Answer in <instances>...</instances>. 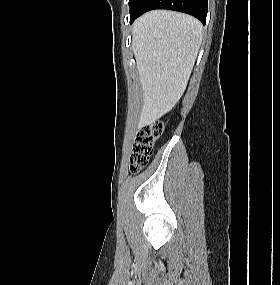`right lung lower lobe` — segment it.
I'll list each match as a JSON object with an SVG mask.
<instances>
[{"instance_id":"obj_1","label":"right lung lower lobe","mask_w":280,"mask_h":285,"mask_svg":"<svg viewBox=\"0 0 280 285\" xmlns=\"http://www.w3.org/2000/svg\"><path fill=\"white\" fill-rule=\"evenodd\" d=\"M153 9H170L188 13L205 24L208 0H141L130 16V23L143 13Z\"/></svg>"}]
</instances>
